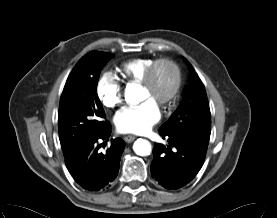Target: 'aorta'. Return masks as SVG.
<instances>
[{
  "label": "aorta",
  "instance_id": "1",
  "mask_svg": "<svg viewBox=\"0 0 277 218\" xmlns=\"http://www.w3.org/2000/svg\"><path fill=\"white\" fill-rule=\"evenodd\" d=\"M125 100L130 104H137L140 102L141 97L134 88H128ZM133 150L139 156H148L152 151V147L148 140L140 138L134 142Z\"/></svg>",
  "mask_w": 277,
  "mask_h": 218
}]
</instances>
